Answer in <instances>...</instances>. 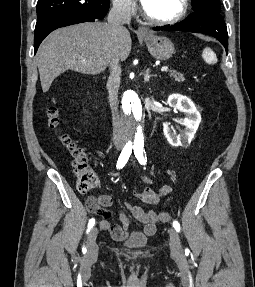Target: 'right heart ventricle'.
I'll use <instances>...</instances> for the list:
<instances>
[{
	"label": "right heart ventricle",
	"mask_w": 255,
	"mask_h": 287,
	"mask_svg": "<svg viewBox=\"0 0 255 287\" xmlns=\"http://www.w3.org/2000/svg\"><path fill=\"white\" fill-rule=\"evenodd\" d=\"M137 39H145V38H137ZM135 48H146V47H135ZM165 48H169V47H165Z\"/></svg>",
	"instance_id": "1"
}]
</instances>
